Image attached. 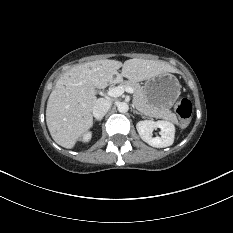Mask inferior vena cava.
Returning <instances> with one entry per match:
<instances>
[{"label": "inferior vena cava", "instance_id": "obj_1", "mask_svg": "<svg viewBox=\"0 0 233 233\" xmlns=\"http://www.w3.org/2000/svg\"><path fill=\"white\" fill-rule=\"evenodd\" d=\"M111 107V102L104 99V98H99L97 99L94 107H93V116L96 119H102L105 114L108 112V110Z\"/></svg>", "mask_w": 233, "mask_h": 233}]
</instances>
